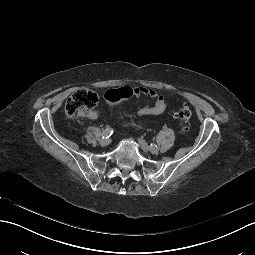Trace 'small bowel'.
<instances>
[{"label": "small bowel", "instance_id": "small-bowel-1", "mask_svg": "<svg viewBox=\"0 0 255 255\" xmlns=\"http://www.w3.org/2000/svg\"><path fill=\"white\" fill-rule=\"evenodd\" d=\"M134 90L137 96H143L153 101L152 104H144L140 106L139 109L137 110L138 116L159 115L166 110L168 106V100L164 94H161L154 89H147L144 87H137ZM99 116H100L99 112L91 111L84 115L83 117L90 120H95Z\"/></svg>", "mask_w": 255, "mask_h": 255}]
</instances>
